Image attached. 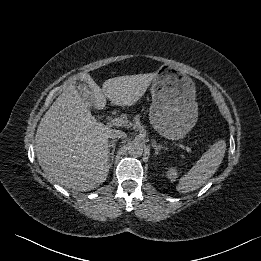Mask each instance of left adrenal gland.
<instances>
[{"instance_id":"a2214340","label":"left adrenal gland","mask_w":261,"mask_h":261,"mask_svg":"<svg viewBox=\"0 0 261 261\" xmlns=\"http://www.w3.org/2000/svg\"><path fill=\"white\" fill-rule=\"evenodd\" d=\"M152 147L155 149V154L158 155L161 149H164V147L160 144H157L156 142L152 143Z\"/></svg>"}]
</instances>
